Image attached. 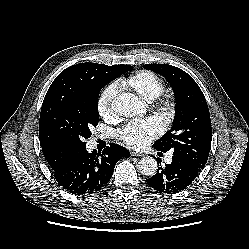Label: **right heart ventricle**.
Listing matches in <instances>:
<instances>
[{
  "label": "right heart ventricle",
  "mask_w": 249,
  "mask_h": 249,
  "mask_svg": "<svg viewBox=\"0 0 249 249\" xmlns=\"http://www.w3.org/2000/svg\"><path fill=\"white\" fill-rule=\"evenodd\" d=\"M121 86L134 90L145 100L152 101L162 94L165 83L159 75L140 70L123 79Z\"/></svg>",
  "instance_id": "right-heart-ventricle-1"
}]
</instances>
